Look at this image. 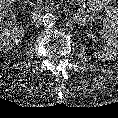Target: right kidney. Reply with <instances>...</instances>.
<instances>
[{"mask_svg":"<svg viewBox=\"0 0 118 118\" xmlns=\"http://www.w3.org/2000/svg\"><path fill=\"white\" fill-rule=\"evenodd\" d=\"M24 35V29L19 26L4 28L0 31V51L9 50L14 42L18 43Z\"/></svg>","mask_w":118,"mask_h":118,"instance_id":"1","label":"right kidney"}]
</instances>
